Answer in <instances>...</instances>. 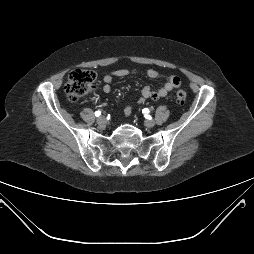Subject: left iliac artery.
<instances>
[{
  "label": "left iliac artery",
  "instance_id": "obj_1",
  "mask_svg": "<svg viewBox=\"0 0 254 254\" xmlns=\"http://www.w3.org/2000/svg\"><path fill=\"white\" fill-rule=\"evenodd\" d=\"M142 112L145 114V116L151 120V117H148L149 110L147 108H144Z\"/></svg>",
  "mask_w": 254,
  "mask_h": 254
}]
</instances>
